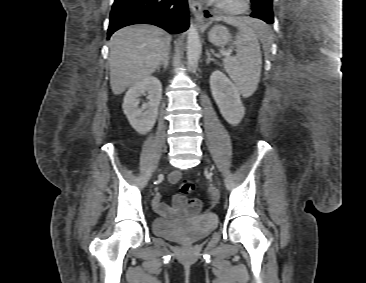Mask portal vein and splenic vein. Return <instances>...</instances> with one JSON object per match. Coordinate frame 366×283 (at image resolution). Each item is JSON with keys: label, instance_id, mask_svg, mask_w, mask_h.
<instances>
[{"label": "portal vein and splenic vein", "instance_id": "1", "mask_svg": "<svg viewBox=\"0 0 366 283\" xmlns=\"http://www.w3.org/2000/svg\"><path fill=\"white\" fill-rule=\"evenodd\" d=\"M224 55L229 56V55H230V53H229V52H226V53H224Z\"/></svg>", "mask_w": 366, "mask_h": 283}]
</instances>
